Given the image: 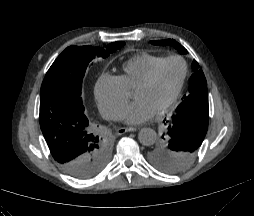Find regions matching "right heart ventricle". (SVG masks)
<instances>
[{"instance_id":"1","label":"right heart ventricle","mask_w":254,"mask_h":216,"mask_svg":"<svg viewBox=\"0 0 254 216\" xmlns=\"http://www.w3.org/2000/svg\"><path fill=\"white\" fill-rule=\"evenodd\" d=\"M164 58L162 55L149 52L138 53L123 64L122 74L118 77L128 91L134 90Z\"/></svg>"}]
</instances>
